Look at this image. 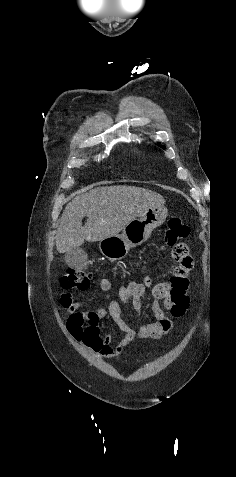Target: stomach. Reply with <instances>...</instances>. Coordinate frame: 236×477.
<instances>
[{"label":"stomach","instance_id":"0dacf381","mask_svg":"<svg viewBox=\"0 0 236 477\" xmlns=\"http://www.w3.org/2000/svg\"><path fill=\"white\" fill-rule=\"evenodd\" d=\"M168 211L164 206H154L130 222L122 234L110 236L100 241L101 253L110 261L124 258L129 249L145 243L152 231L163 224Z\"/></svg>","mask_w":236,"mask_h":477}]
</instances>
